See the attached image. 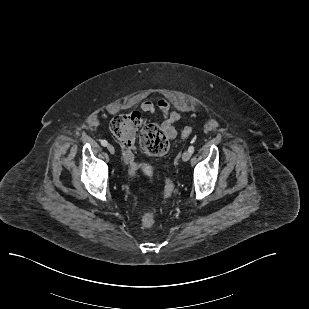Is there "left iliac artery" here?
Wrapping results in <instances>:
<instances>
[{"instance_id": "44dca946", "label": "left iliac artery", "mask_w": 309, "mask_h": 309, "mask_svg": "<svg viewBox=\"0 0 309 309\" xmlns=\"http://www.w3.org/2000/svg\"><path fill=\"white\" fill-rule=\"evenodd\" d=\"M194 150H195L194 146H190V147L188 148V151H189L191 154L194 152Z\"/></svg>"}]
</instances>
